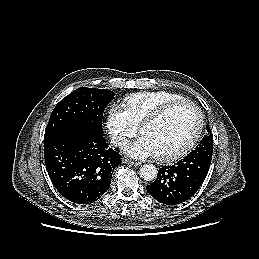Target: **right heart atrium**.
<instances>
[{
    "mask_svg": "<svg viewBox=\"0 0 259 259\" xmlns=\"http://www.w3.org/2000/svg\"><path fill=\"white\" fill-rule=\"evenodd\" d=\"M106 127L113 144L118 147H123L137 131L128 110L119 103H114L109 108Z\"/></svg>",
    "mask_w": 259,
    "mask_h": 259,
    "instance_id": "obj_1",
    "label": "right heart atrium"
}]
</instances>
